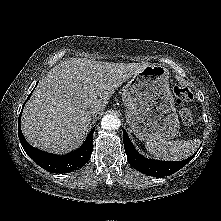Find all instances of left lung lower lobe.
Instances as JSON below:
<instances>
[{
  "label": "left lung lower lobe",
  "mask_w": 221,
  "mask_h": 221,
  "mask_svg": "<svg viewBox=\"0 0 221 221\" xmlns=\"http://www.w3.org/2000/svg\"><path fill=\"white\" fill-rule=\"evenodd\" d=\"M123 141L127 159L130 165L139 172L159 178L169 176L177 172L196 155L195 153L184 161L178 162L151 160L143 157L135 150L125 130H123Z\"/></svg>",
  "instance_id": "0a47b994"
}]
</instances>
